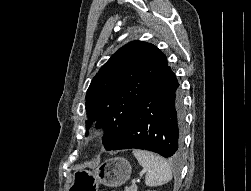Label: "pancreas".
Segmentation results:
<instances>
[{"instance_id": "obj_1", "label": "pancreas", "mask_w": 251, "mask_h": 191, "mask_svg": "<svg viewBox=\"0 0 251 191\" xmlns=\"http://www.w3.org/2000/svg\"><path fill=\"white\" fill-rule=\"evenodd\" d=\"M124 191H137V187H125Z\"/></svg>"}]
</instances>
